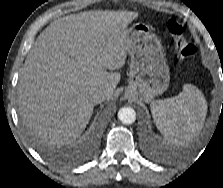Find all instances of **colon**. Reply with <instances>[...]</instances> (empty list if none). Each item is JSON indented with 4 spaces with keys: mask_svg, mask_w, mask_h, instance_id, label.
Masks as SVG:
<instances>
[{
    "mask_svg": "<svg viewBox=\"0 0 223 188\" xmlns=\"http://www.w3.org/2000/svg\"><path fill=\"white\" fill-rule=\"evenodd\" d=\"M166 29L173 37L175 49L182 59H191L196 56L198 49L187 41L184 26L176 19L171 18L166 22Z\"/></svg>",
    "mask_w": 223,
    "mask_h": 188,
    "instance_id": "obj_1",
    "label": "colon"
}]
</instances>
